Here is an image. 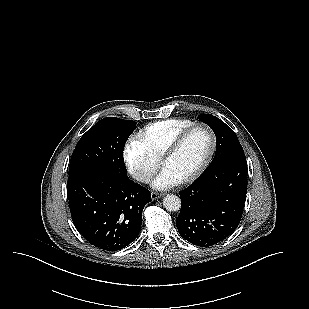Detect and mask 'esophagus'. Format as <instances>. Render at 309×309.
Masks as SVG:
<instances>
[{
    "label": "esophagus",
    "instance_id": "esophagus-1",
    "mask_svg": "<svg viewBox=\"0 0 309 309\" xmlns=\"http://www.w3.org/2000/svg\"><path fill=\"white\" fill-rule=\"evenodd\" d=\"M161 196H162L161 193H157V192H152V193H151V198H152L153 200L158 199V198H160Z\"/></svg>",
    "mask_w": 309,
    "mask_h": 309
}]
</instances>
